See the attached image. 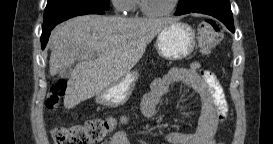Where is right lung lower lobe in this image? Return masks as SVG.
I'll list each match as a JSON object with an SVG mask.
<instances>
[{"instance_id": "right-lung-lower-lobe-1", "label": "right lung lower lobe", "mask_w": 273, "mask_h": 144, "mask_svg": "<svg viewBox=\"0 0 273 144\" xmlns=\"http://www.w3.org/2000/svg\"><path fill=\"white\" fill-rule=\"evenodd\" d=\"M106 9L91 6V5H79V6H68L65 8H61L56 10L52 15H50L49 19L45 21L42 25V35H41V46L42 49L45 48L48 37L51 33V30L59 23L75 17L79 15L86 14H104Z\"/></svg>"}]
</instances>
